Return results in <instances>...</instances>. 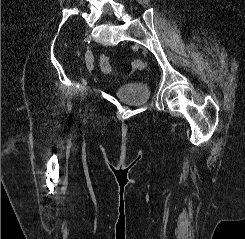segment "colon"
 <instances>
[{
    "label": "colon",
    "instance_id": "1",
    "mask_svg": "<svg viewBox=\"0 0 245 239\" xmlns=\"http://www.w3.org/2000/svg\"><path fill=\"white\" fill-rule=\"evenodd\" d=\"M100 66L103 71L110 73L111 72V63L109 57L102 55L100 57Z\"/></svg>",
    "mask_w": 245,
    "mask_h": 239
}]
</instances>
